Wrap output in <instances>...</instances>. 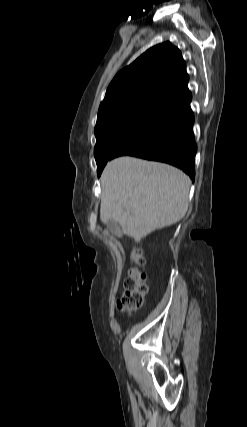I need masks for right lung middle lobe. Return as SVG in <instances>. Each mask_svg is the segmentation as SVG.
<instances>
[{
    "label": "right lung middle lobe",
    "mask_w": 247,
    "mask_h": 427,
    "mask_svg": "<svg viewBox=\"0 0 247 427\" xmlns=\"http://www.w3.org/2000/svg\"><path fill=\"white\" fill-rule=\"evenodd\" d=\"M153 110L147 107H132L98 117L95 126L97 141L94 149L98 176L124 138Z\"/></svg>",
    "instance_id": "obj_1"
}]
</instances>
